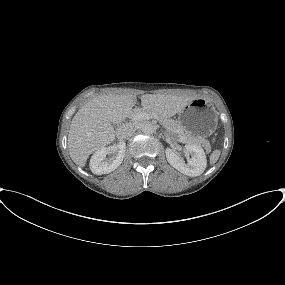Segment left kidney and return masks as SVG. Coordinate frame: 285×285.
Wrapping results in <instances>:
<instances>
[{"label":"left kidney","mask_w":285,"mask_h":285,"mask_svg":"<svg viewBox=\"0 0 285 285\" xmlns=\"http://www.w3.org/2000/svg\"><path fill=\"white\" fill-rule=\"evenodd\" d=\"M185 150L191 154L187 163L172 149H166V158L171 166L181 173L195 177L201 175L207 165V159L203 148L197 144H186Z\"/></svg>","instance_id":"left-kidney-1"}]
</instances>
